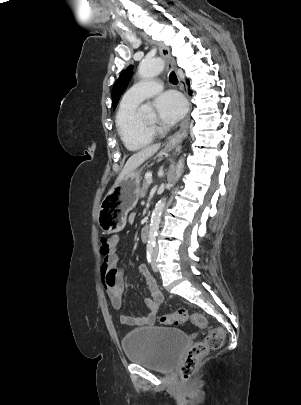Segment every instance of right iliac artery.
Listing matches in <instances>:
<instances>
[{"label":"right iliac artery","instance_id":"obj_1","mask_svg":"<svg viewBox=\"0 0 301 405\" xmlns=\"http://www.w3.org/2000/svg\"><path fill=\"white\" fill-rule=\"evenodd\" d=\"M152 253H153V247H152V246H148V247H147V251H146V255H147V260H148V262H151Z\"/></svg>","mask_w":301,"mask_h":405}]
</instances>
